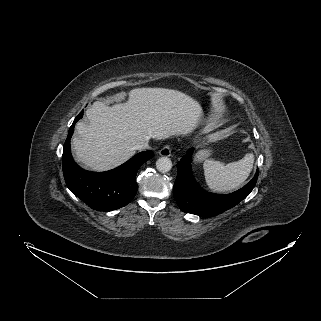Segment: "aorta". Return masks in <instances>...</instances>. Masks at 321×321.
Here are the masks:
<instances>
[{
	"label": "aorta",
	"mask_w": 321,
	"mask_h": 321,
	"mask_svg": "<svg viewBox=\"0 0 321 321\" xmlns=\"http://www.w3.org/2000/svg\"><path fill=\"white\" fill-rule=\"evenodd\" d=\"M156 168L159 172L166 173L172 168V161L168 157H161L156 161Z\"/></svg>",
	"instance_id": "obj_1"
}]
</instances>
